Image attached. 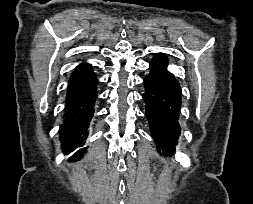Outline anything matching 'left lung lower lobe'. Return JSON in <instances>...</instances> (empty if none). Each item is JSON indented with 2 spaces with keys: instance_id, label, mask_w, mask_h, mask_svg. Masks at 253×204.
<instances>
[{
  "instance_id": "1",
  "label": "left lung lower lobe",
  "mask_w": 253,
  "mask_h": 204,
  "mask_svg": "<svg viewBox=\"0 0 253 204\" xmlns=\"http://www.w3.org/2000/svg\"><path fill=\"white\" fill-rule=\"evenodd\" d=\"M150 73L144 79L146 117L159 150L172 155L180 135L178 123L181 107V88L175 77L167 71V58L158 53L150 62Z\"/></svg>"
}]
</instances>
